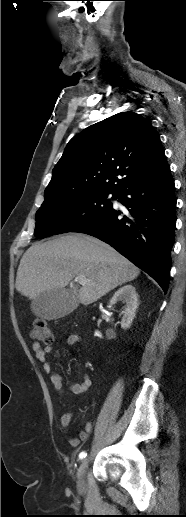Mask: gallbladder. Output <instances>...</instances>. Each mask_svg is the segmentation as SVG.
Wrapping results in <instances>:
<instances>
[{
	"label": "gallbladder",
	"mask_w": 186,
	"mask_h": 517,
	"mask_svg": "<svg viewBox=\"0 0 186 517\" xmlns=\"http://www.w3.org/2000/svg\"><path fill=\"white\" fill-rule=\"evenodd\" d=\"M79 300L70 290H51L40 294L32 301L33 313L42 319H57L71 313Z\"/></svg>",
	"instance_id": "1"
}]
</instances>
